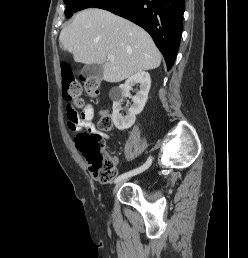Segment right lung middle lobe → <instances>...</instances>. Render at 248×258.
I'll return each mask as SVG.
<instances>
[{"label": "right lung middle lobe", "instance_id": "obj_1", "mask_svg": "<svg viewBox=\"0 0 248 258\" xmlns=\"http://www.w3.org/2000/svg\"><path fill=\"white\" fill-rule=\"evenodd\" d=\"M108 0H64L66 4L65 15L71 17L73 13L90 7H95Z\"/></svg>", "mask_w": 248, "mask_h": 258}]
</instances>
